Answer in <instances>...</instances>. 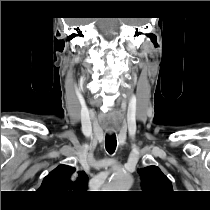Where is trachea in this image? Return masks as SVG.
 Here are the masks:
<instances>
[{
	"label": "trachea",
	"instance_id": "trachea-1",
	"mask_svg": "<svg viewBox=\"0 0 210 210\" xmlns=\"http://www.w3.org/2000/svg\"><path fill=\"white\" fill-rule=\"evenodd\" d=\"M105 146L108 153L113 154L115 152L116 146H117V140L116 135H106L105 138Z\"/></svg>",
	"mask_w": 210,
	"mask_h": 210
}]
</instances>
